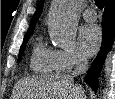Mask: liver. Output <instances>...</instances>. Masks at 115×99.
<instances>
[{
    "label": "liver",
    "mask_w": 115,
    "mask_h": 99,
    "mask_svg": "<svg viewBox=\"0 0 115 99\" xmlns=\"http://www.w3.org/2000/svg\"><path fill=\"white\" fill-rule=\"evenodd\" d=\"M82 86L69 75L29 77L17 81L12 99H85Z\"/></svg>",
    "instance_id": "1"
}]
</instances>
